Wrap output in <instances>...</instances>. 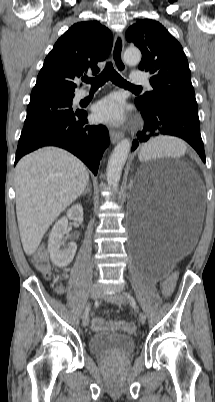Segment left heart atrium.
<instances>
[{
	"mask_svg": "<svg viewBox=\"0 0 215 402\" xmlns=\"http://www.w3.org/2000/svg\"><path fill=\"white\" fill-rule=\"evenodd\" d=\"M94 118L99 122L119 124L124 119L123 104L116 96H109L94 107Z\"/></svg>",
	"mask_w": 215,
	"mask_h": 402,
	"instance_id": "1",
	"label": "left heart atrium"
}]
</instances>
